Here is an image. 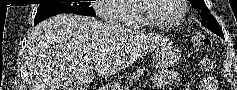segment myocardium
<instances>
[{"label": "myocardium", "mask_w": 237, "mask_h": 90, "mask_svg": "<svg viewBox=\"0 0 237 90\" xmlns=\"http://www.w3.org/2000/svg\"><path fill=\"white\" fill-rule=\"evenodd\" d=\"M138 2H139L138 7H140L141 9L140 18L142 19V21L146 24L148 28L171 30V29H175L182 23L185 17V13H186V5L184 3H188V0L174 1L179 6L180 13H179V17L177 21L169 25L159 24L151 18V16L149 15V11L152 8V5H150V3H152V0H140Z\"/></svg>", "instance_id": "myocardium-1"}]
</instances>
